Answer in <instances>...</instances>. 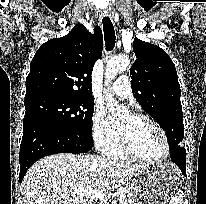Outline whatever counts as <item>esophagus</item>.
<instances>
[{
	"label": "esophagus",
	"mask_w": 206,
	"mask_h": 204,
	"mask_svg": "<svg viewBox=\"0 0 206 204\" xmlns=\"http://www.w3.org/2000/svg\"><path fill=\"white\" fill-rule=\"evenodd\" d=\"M101 16L107 17V16H109V12H108V11H103V12L101 13Z\"/></svg>",
	"instance_id": "esophagus-1"
}]
</instances>
